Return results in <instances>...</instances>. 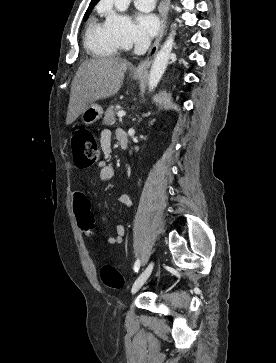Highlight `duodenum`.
<instances>
[{
	"instance_id": "410a0bca",
	"label": "duodenum",
	"mask_w": 276,
	"mask_h": 363,
	"mask_svg": "<svg viewBox=\"0 0 276 363\" xmlns=\"http://www.w3.org/2000/svg\"><path fill=\"white\" fill-rule=\"evenodd\" d=\"M117 139L120 144L121 149L126 150L128 146V138L125 132H119L117 134Z\"/></svg>"
}]
</instances>
